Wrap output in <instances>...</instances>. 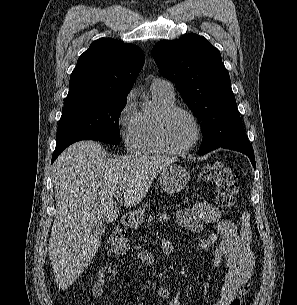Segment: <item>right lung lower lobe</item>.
<instances>
[{
    "label": "right lung lower lobe",
    "instance_id": "98d812e1",
    "mask_svg": "<svg viewBox=\"0 0 297 305\" xmlns=\"http://www.w3.org/2000/svg\"><path fill=\"white\" fill-rule=\"evenodd\" d=\"M64 149H55L53 156H52V163L55 161V159L59 156V154L63 151Z\"/></svg>",
    "mask_w": 297,
    "mask_h": 305
}]
</instances>
